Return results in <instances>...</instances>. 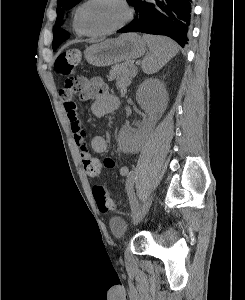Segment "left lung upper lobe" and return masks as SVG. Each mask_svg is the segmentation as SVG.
I'll list each match as a JSON object with an SVG mask.
<instances>
[{
	"label": "left lung upper lobe",
	"instance_id": "5c2ea615",
	"mask_svg": "<svg viewBox=\"0 0 245 300\" xmlns=\"http://www.w3.org/2000/svg\"><path fill=\"white\" fill-rule=\"evenodd\" d=\"M80 1L81 0H58L57 1V19H56V25L57 26H60L62 24L63 17H64V10L74 7ZM133 1L134 0H127V2L129 4H132ZM57 26H54V28H53L54 38H53L52 47H53L54 51L69 36V33L67 31H65L62 28H59Z\"/></svg>",
	"mask_w": 245,
	"mask_h": 300
}]
</instances>
